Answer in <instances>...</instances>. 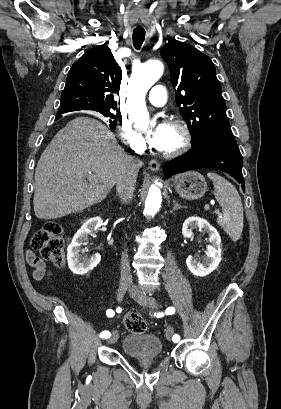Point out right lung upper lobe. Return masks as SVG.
<instances>
[{
    "instance_id": "right-lung-upper-lobe-1",
    "label": "right lung upper lobe",
    "mask_w": 281,
    "mask_h": 409,
    "mask_svg": "<svg viewBox=\"0 0 281 409\" xmlns=\"http://www.w3.org/2000/svg\"><path fill=\"white\" fill-rule=\"evenodd\" d=\"M121 79L122 70L108 46L93 47L72 65L57 115L78 110H115L113 93L119 92Z\"/></svg>"
}]
</instances>
